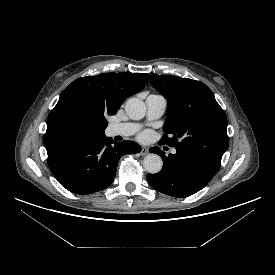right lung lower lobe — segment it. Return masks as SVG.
I'll list each match as a JSON object with an SVG mask.
<instances>
[{
    "label": "right lung lower lobe",
    "mask_w": 275,
    "mask_h": 275,
    "mask_svg": "<svg viewBox=\"0 0 275 275\" xmlns=\"http://www.w3.org/2000/svg\"><path fill=\"white\" fill-rule=\"evenodd\" d=\"M140 151L134 141L119 143L103 136L47 150V161L63 187L87 195L110 186L124 154Z\"/></svg>",
    "instance_id": "98d812e1"
}]
</instances>
